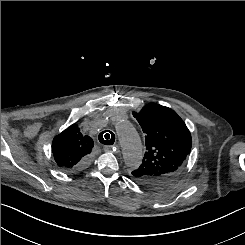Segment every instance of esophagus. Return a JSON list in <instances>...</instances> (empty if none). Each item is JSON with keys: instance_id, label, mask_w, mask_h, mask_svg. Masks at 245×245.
<instances>
[{"instance_id": "34e87169", "label": "esophagus", "mask_w": 245, "mask_h": 245, "mask_svg": "<svg viewBox=\"0 0 245 245\" xmlns=\"http://www.w3.org/2000/svg\"><path fill=\"white\" fill-rule=\"evenodd\" d=\"M115 147L111 146V145H106L104 146V151L105 152H111Z\"/></svg>"}]
</instances>
